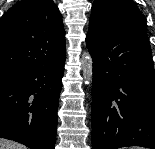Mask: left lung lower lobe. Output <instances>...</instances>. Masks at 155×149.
Instances as JSON below:
<instances>
[{"label":"left lung lower lobe","instance_id":"0a47b994","mask_svg":"<svg viewBox=\"0 0 155 149\" xmlns=\"http://www.w3.org/2000/svg\"><path fill=\"white\" fill-rule=\"evenodd\" d=\"M93 60L92 149H155V73L146 27L88 31Z\"/></svg>","mask_w":155,"mask_h":149}]
</instances>
